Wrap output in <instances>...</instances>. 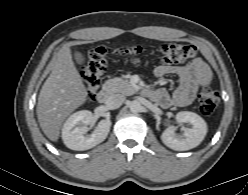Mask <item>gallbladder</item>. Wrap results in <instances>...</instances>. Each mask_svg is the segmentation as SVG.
Returning a JSON list of instances; mask_svg holds the SVG:
<instances>
[{
	"mask_svg": "<svg viewBox=\"0 0 248 195\" xmlns=\"http://www.w3.org/2000/svg\"><path fill=\"white\" fill-rule=\"evenodd\" d=\"M74 59L80 65L83 64L85 60L83 54L79 51L74 52Z\"/></svg>",
	"mask_w": 248,
	"mask_h": 195,
	"instance_id": "obj_1",
	"label": "gallbladder"
}]
</instances>
